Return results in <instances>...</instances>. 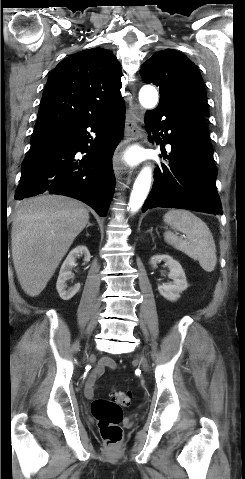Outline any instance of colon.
<instances>
[{
  "mask_svg": "<svg viewBox=\"0 0 245 479\" xmlns=\"http://www.w3.org/2000/svg\"><path fill=\"white\" fill-rule=\"evenodd\" d=\"M130 402L131 393L122 390H114L110 399L97 398L92 402V415L107 445L115 446L120 443L122 439V408L128 406Z\"/></svg>",
  "mask_w": 245,
  "mask_h": 479,
  "instance_id": "1",
  "label": "colon"
}]
</instances>
